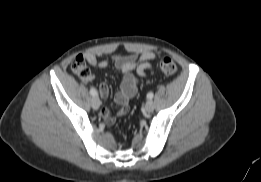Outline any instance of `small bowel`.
I'll return each instance as SVG.
<instances>
[{"label":"small bowel","instance_id":"small-bowel-1","mask_svg":"<svg viewBox=\"0 0 261 182\" xmlns=\"http://www.w3.org/2000/svg\"><path fill=\"white\" fill-rule=\"evenodd\" d=\"M159 55L158 51H145L140 54H129V55H115L112 58V62L115 67L121 73L120 89L115 94L114 100L120 106L118 115L122 116L129 111V101L132 99L138 88V78L133 72L139 77H145L146 73L152 69L151 61L156 59ZM83 58L93 67L104 69L110 65L109 60H99L94 53L87 52L83 54ZM100 95L103 99L109 95V88L105 83H102L99 87ZM101 118L108 124L113 123L115 117L105 107L100 110Z\"/></svg>","mask_w":261,"mask_h":182}]
</instances>
